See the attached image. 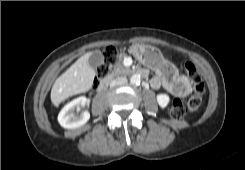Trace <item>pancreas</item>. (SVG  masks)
Returning <instances> with one entry per match:
<instances>
[{
    "label": "pancreas",
    "instance_id": "1",
    "mask_svg": "<svg viewBox=\"0 0 245 170\" xmlns=\"http://www.w3.org/2000/svg\"><path fill=\"white\" fill-rule=\"evenodd\" d=\"M123 57H124V55L119 57V60L113 66L111 73L108 75V79H112L115 76L126 74V68L122 64Z\"/></svg>",
    "mask_w": 245,
    "mask_h": 170
}]
</instances>
